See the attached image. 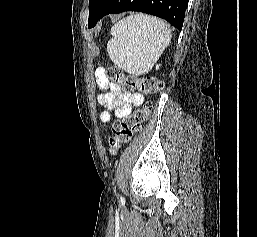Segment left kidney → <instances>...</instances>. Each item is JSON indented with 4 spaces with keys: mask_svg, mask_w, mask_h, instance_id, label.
I'll list each match as a JSON object with an SVG mask.
<instances>
[{
    "mask_svg": "<svg viewBox=\"0 0 257 237\" xmlns=\"http://www.w3.org/2000/svg\"><path fill=\"white\" fill-rule=\"evenodd\" d=\"M159 66H160V65H156V69H159Z\"/></svg>",
    "mask_w": 257,
    "mask_h": 237,
    "instance_id": "1",
    "label": "left kidney"
}]
</instances>
